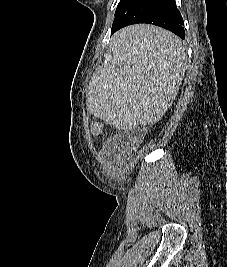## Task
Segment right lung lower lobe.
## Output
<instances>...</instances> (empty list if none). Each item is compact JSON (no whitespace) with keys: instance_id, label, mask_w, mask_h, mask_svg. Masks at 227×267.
Masks as SVG:
<instances>
[{"instance_id":"obj_1","label":"right lung lower lobe","mask_w":227,"mask_h":267,"mask_svg":"<svg viewBox=\"0 0 227 267\" xmlns=\"http://www.w3.org/2000/svg\"><path fill=\"white\" fill-rule=\"evenodd\" d=\"M137 23L154 24L182 39L185 37L183 18L175 0H127L115 16L111 33Z\"/></svg>"}]
</instances>
